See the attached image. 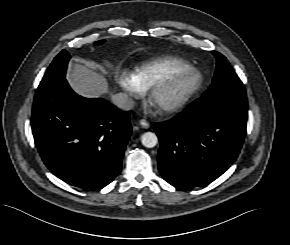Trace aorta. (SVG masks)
Here are the masks:
<instances>
[{"instance_id":"obj_1","label":"aorta","mask_w":290,"mask_h":245,"mask_svg":"<svg viewBox=\"0 0 290 245\" xmlns=\"http://www.w3.org/2000/svg\"><path fill=\"white\" fill-rule=\"evenodd\" d=\"M141 142H142L143 146H145L147 148H153L156 146V144L158 142V138H157L155 133L145 132L141 136Z\"/></svg>"}]
</instances>
